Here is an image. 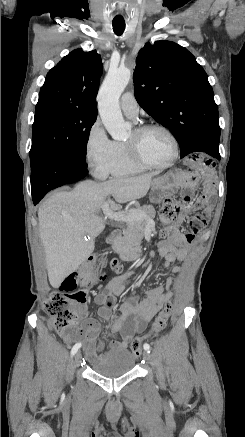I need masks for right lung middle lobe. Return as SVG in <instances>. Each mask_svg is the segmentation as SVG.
Returning <instances> with one entry per match:
<instances>
[{"instance_id":"right-lung-middle-lobe-1","label":"right lung middle lobe","mask_w":245,"mask_h":437,"mask_svg":"<svg viewBox=\"0 0 245 437\" xmlns=\"http://www.w3.org/2000/svg\"><path fill=\"white\" fill-rule=\"evenodd\" d=\"M96 118V113L61 105L36 107L32 125L31 166L46 157L85 162L88 137Z\"/></svg>"}]
</instances>
